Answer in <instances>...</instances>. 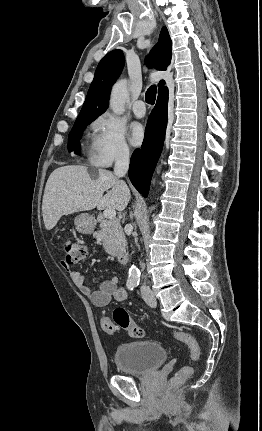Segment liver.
Masks as SVG:
<instances>
[{
  "mask_svg": "<svg viewBox=\"0 0 262 431\" xmlns=\"http://www.w3.org/2000/svg\"><path fill=\"white\" fill-rule=\"evenodd\" d=\"M130 198L126 183L108 170L98 169L97 177L93 178L85 166L59 167L49 176L44 190L42 214L45 228H54L63 215L96 207L121 212Z\"/></svg>",
  "mask_w": 262,
  "mask_h": 431,
  "instance_id": "obj_1",
  "label": "liver"
}]
</instances>
